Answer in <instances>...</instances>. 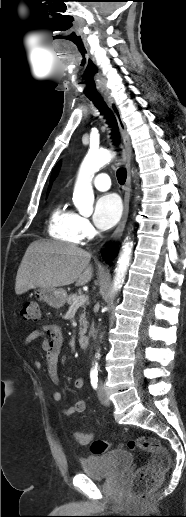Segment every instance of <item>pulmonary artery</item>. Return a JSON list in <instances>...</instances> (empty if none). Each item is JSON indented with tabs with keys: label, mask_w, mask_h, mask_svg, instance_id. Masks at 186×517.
Listing matches in <instances>:
<instances>
[{
	"label": "pulmonary artery",
	"mask_w": 186,
	"mask_h": 517,
	"mask_svg": "<svg viewBox=\"0 0 186 517\" xmlns=\"http://www.w3.org/2000/svg\"><path fill=\"white\" fill-rule=\"evenodd\" d=\"M93 185L96 189H98L100 191H106L111 186L110 178L107 174H104V173L98 174L93 179Z\"/></svg>",
	"instance_id": "pulmonary-artery-1"
}]
</instances>
